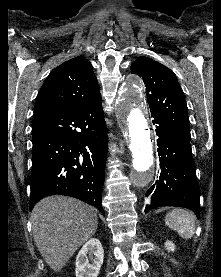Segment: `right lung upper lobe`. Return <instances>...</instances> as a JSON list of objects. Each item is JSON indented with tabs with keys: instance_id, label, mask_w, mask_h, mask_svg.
<instances>
[{
	"instance_id": "cb5924a9",
	"label": "right lung upper lobe",
	"mask_w": 221,
	"mask_h": 277,
	"mask_svg": "<svg viewBox=\"0 0 221 277\" xmlns=\"http://www.w3.org/2000/svg\"><path fill=\"white\" fill-rule=\"evenodd\" d=\"M101 98L91 63L78 56L56 67L38 94L34 113L73 109Z\"/></svg>"
}]
</instances>
